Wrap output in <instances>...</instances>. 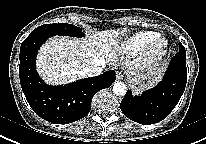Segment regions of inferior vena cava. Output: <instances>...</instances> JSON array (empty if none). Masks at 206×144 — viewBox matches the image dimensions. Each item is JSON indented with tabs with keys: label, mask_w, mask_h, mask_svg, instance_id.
I'll return each instance as SVG.
<instances>
[{
	"label": "inferior vena cava",
	"mask_w": 206,
	"mask_h": 144,
	"mask_svg": "<svg viewBox=\"0 0 206 144\" xmlns=\"http://www.w3.org/2000/svg\"><path fill=\"white\" fill-rule=\"evenodd\" d=\"M104 65H93L83 69V73L89 77L98 76L103 73Z\"/></svg>",
	"instance_id": "inferior-vena-cava-1"
}]
</instances>
